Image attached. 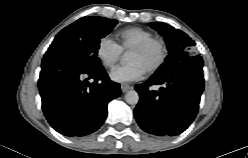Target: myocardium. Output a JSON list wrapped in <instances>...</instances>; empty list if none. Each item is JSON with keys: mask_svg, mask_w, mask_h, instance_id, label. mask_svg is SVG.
<instances>
[{"mask_svg": "<svg viewBox=\"0 0 248 158\" xmlns=\"http://www.w3.org/2000/svg\"><path fill=\"white\" fill-rule=\"evenodd\" d=\"M152 45H156L159 49V57L155 64L146 70L149 74H153L157 72L165 63L167 55H168V47L166 42L158 37L148 38L135 46H133L129 51H145Z\"/></svg>", "mask_w": 248, "mask_h": 158, "instance_id": "1", "label": "myocardium"}]
</instances>
